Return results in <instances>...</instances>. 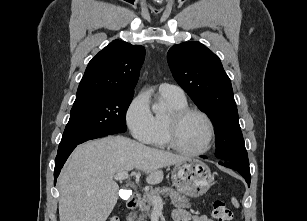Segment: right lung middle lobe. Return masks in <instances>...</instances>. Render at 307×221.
I'll return each mask as SVG.
<instances>
[{
	"label": "right lung middle lobe",
	"mask_w": 307,
	"mask_h": 221,
	"mask_svg": "<svg viewBox=\"0 0 307 221\" xmlns=\"http://www.w3.org/2000/svg\"><path fill=\"white\" fill-rule=\"evenodd\" d=\"M134 93H112L74 102L58 150L94 138L123 133Z\"/></svg>",
	"instance_id": "obj_1"
}]
</instances>
